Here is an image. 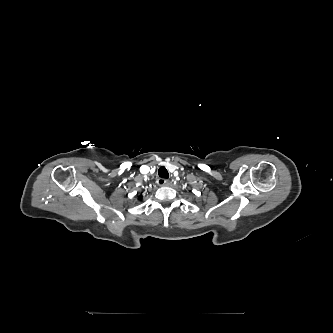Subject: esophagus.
Returning <instances> with one entry per match:
<instances>
[{
    "label": "esophagus",
    "instance_id": "34e87169",
    "mask_svg": "<svg viewBox=\"0 0 333 333\" xmlns=\"http://www.w3.org/2000/svg\"><path fill=\"white\" fill-rule=\"evenodd\" d=\"M157 184H158L159 186H167V185H169V180H167V179H165V178H159V179L157 180Z\"/></svg>",
    "mask_w": 333,
    "mask_h": 333
}]
</instances>
